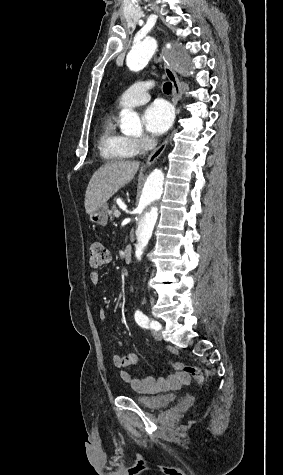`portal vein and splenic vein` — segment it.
Listing matches in <instances>:
<instances>
[{
	"label": "portal vein and splenic vein",
	"mask_w": 283,
	"mask_h": 475,
	"mask_svg": "<svg viewBox=\"0 0 283 475\" xmlns=\"http://www.w3.org/2000/svg\"><path fill=\"white\" fill-rule=\"evenodd\" d=\"M115 216H116V218H119V216H120V214H119V212H117V210L115 212Z\"/></svg>",
	"instance_id": "1"
}]
</instances>
